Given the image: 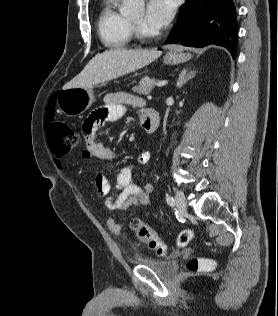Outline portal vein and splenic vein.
<instances>
[{"label":"portal vein and splenic vein","instance_id":"obj_1","mask_svg":"<svg viewBox=\"0 0 278 316\" xmlns=\"http://www.w3.org/2000/svg\"><path fill=\"white\" fill-rule=\"evenodd\" d=\"M167 83H168V81H160V82L157 83V86H158V87H163V86H165Z\"/></svg>","mask_w":278,"mask_h":316}]
</instances>
